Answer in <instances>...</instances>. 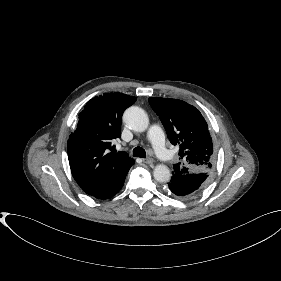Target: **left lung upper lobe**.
I'll list each match as a JSON object with an SVG mask.
<instances>
[{
  "label": "left lung upper lobe",
  "instance_id": "1",
  "mask_svg": "<svg viewBox=\"0 0 281 281\" xmlns=\"http://www.w3.org/2000/svg\"><path fill=\"white\" fill-rule=\"evenodd\" d=\"M173 145H179L180 162L173 175L207 173L215 165V150L208 126L201 113L188 103L169 98H149Z\"/></svg>",
  "mask_w": 281,
  "mask_h": 281
}]
</instances>
